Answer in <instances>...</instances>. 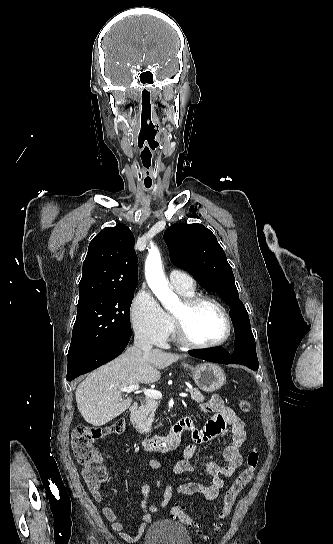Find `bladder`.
<instances>
[{
  "label": "bladder",
  "instance_id": "bladder-1",
  "mask_svg": "<svg viewBox=\"0 0 333 544\" xmlns=\"http://www.w3.org/2000/svg\"><path fill=\"white\" fill-rule=\"evenodd\" d=\"M143 544H192V539L185 526L162 519L149 526Z\"/></svg>",
  "mask_w": 333,
  "mask_h": 544
}]
</instances>
